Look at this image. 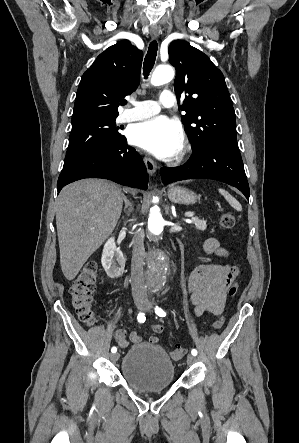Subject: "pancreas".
<instances>
[{
  "label": "pancreas",
  "mask_w": 299,
  "mask_h": 443,
  "mask_svg": "<svg viewBox=\"0 0 299 443\" xmlns=\"http://www.w3.org/2000/svg\"><path fill=\"white\" fill-rule=\"evenodd\" d=\"M192 223L197 230L204 231L207 228L206 220H201L198 217H192Z\"/></svg>",
  "instance_id": "1"
}]
</instances>
